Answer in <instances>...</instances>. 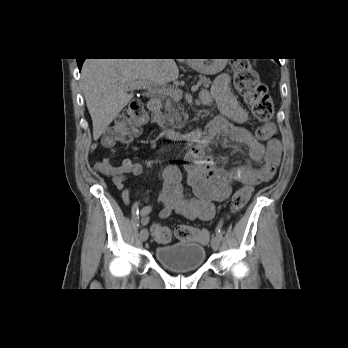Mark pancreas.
I'll return each instance as SVG.
<instances>
[{"label": "pancreas", "instance_id": "pancreas-1", "mask_svg": "<svg viewBox=\"0 0 348 348\" xmlns=\"http://www.w3.org/2000/svg\"><path fill=\"white\" fill-rule=\"evenodd\" d=\"M210 84V78L203 75L199 76V85H202L203 88H209ZM162 119L167 126H171L173 129H182L186 125L188 114L184 112V107L179 100L169 97L166 99Z\"/></svg>", "mask_w": 348, "mask_h": 348}]
</instances>
